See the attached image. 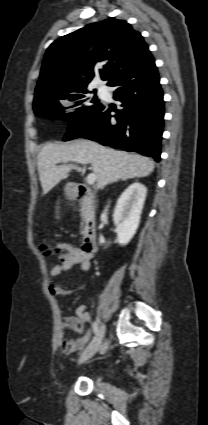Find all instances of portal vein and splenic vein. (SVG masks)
Listing matches in <instances>:
<instances>
[{
	"label": "portal vein and splenic vein",
	"instance_id": "1",
	"mask_svg": "<svg viewBox=\"0 0 208 425\" xmlns=\"http://www.w3.org/2000/svg\"><path fill=\"white\" fill-rule=\"evenodd\" d=\"M62 161L63 162H67L69 160L68 159H63ZM72 161H75V162L80 163V164H83V165L88 164V162H86L84 160H72ZM95 181H96V175L94 173H89L88 176H87V183L89 185H93L95 183Z\"/></svg>",
	"mask_w": 208,
	"mask_h": 425
}]
</instances>
